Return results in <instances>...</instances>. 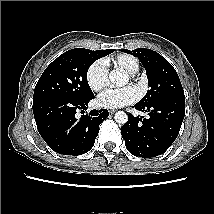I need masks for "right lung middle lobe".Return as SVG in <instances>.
Segmentation results:
<instances>
[{"label":"right lung middle lobe","mask_w":214,"mask_h":214,"mask_svg":"<svg viewBox=\"0 0 214 214\" xmlns=\"http://www.w3.org/2000/svg\"><path fill=\"white\" fill-rule=\"evenodd\" d=\"M111 52L113 50L75 48L63 53L41 75L35 87L33 102L51 97H92L94 94L87 81V71L95 60Z\"/></svg>","instance_id":"1"}]
</instances>
